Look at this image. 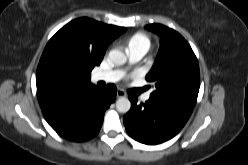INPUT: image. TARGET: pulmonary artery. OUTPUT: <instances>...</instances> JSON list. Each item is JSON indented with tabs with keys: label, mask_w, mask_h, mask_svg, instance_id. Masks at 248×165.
Instances as JSON below:
<instances>
[{
	"label": "pulmonary artery",
	"mask_w": 248,
	"mask_h": 165,
	"mask_svg": "<svg viewBox=\"0 0 248 165\" xmlns=\"http://www.w3.org/2000/svg\"><path fill=\"white\" fill-rule=\"evenodd\" d=\"M148 48L144 46H135L128 49V59L130 64L139 62L147 53ZM124 75L123 70H112L107 72H98L94 75L95 81H105L108 83H114L119 81ZM142 99L148 101L150 99V93L143 95Z\"/></svg>",
	"instance_id": "pulmonary-artery-1"
}]
</instances>
